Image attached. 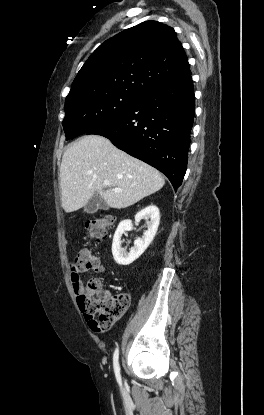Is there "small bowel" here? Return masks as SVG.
Returning <instances> with one entry per match:
<instances>
[{"instance_id":"1","label":"small bowel","mask_w":264,"mask_h":415,"mask_svg":"<svg viewBox=\"0 0 264 415\" xmlns=\"http://www.w3.org/2000/svg\"><path fill=\"white\" fill-rule=\"evenodd\" d=\"M95 269H96L97 272H103L104 271V266L101 264V262H97V266H96ZM83 272H84L83 269H80L76 272L71 271V282H72L73 288H74L75 291H77L79 293H80L81 288H82V282H81V279H80V274L83 273ZM94 330L96 332H99V333L103 332L102 329H94Z\"/></svg>"}]
</instances>
